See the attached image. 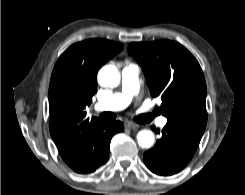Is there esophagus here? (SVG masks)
<instances>
[{
	"instance_id": "obj_1",
	"label": "esophagus",
	"mask_w": 245,
	"mask_h": 195,
	"mask_svg": "<svg viewBox=\"0 0 245 195\" xmlns=\"http://www.w3.org/2000/svg\"><path fill=\"white\" fill-rule=\"evenodd\" d=\"M125 126L128 129H138L139 128V124L134 123V122H127Z\"/></svg>"
}]
</instances>
